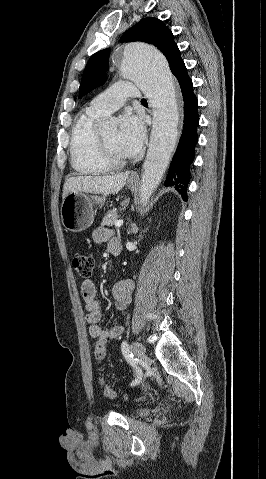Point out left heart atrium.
<instances>
[{"label": "left heart atrium", "instance_id": "1", "mask_svg": "<svg viewBox=\"0 0 266 479\" xmlns=\"http://www.w3.org/2000/svg\"><path fill=\"white\" fill-rule=\"evenodd\" d=\"M145 139V128L142 120L132 114L124 117L118 130V143L125 156H134L142 148Z\"/></svg>", "mask_w": 266, "mask_h": 479}]
</instances>
